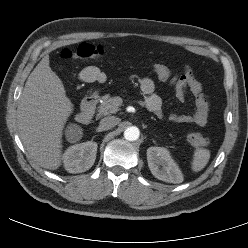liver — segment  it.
I'll list each match as a JSON object with an SVG mask.
<instances>
[{"mask_svg": "<svg viewBox=\"0 0 248 248\" xmlns=\"http://www.w3.org/2000/svg\"><path fill=\"white\" fill-rule=\"evenodd\" d=\"M73 111L61 79L46 55L29 75L17 108L20 138L33 160L56 170L62 162V130Z\"/></svg>", "mask_w": 248, "mask_h": 248, "instance_id": "liver-1", "label": "liver"}]
</instances>
